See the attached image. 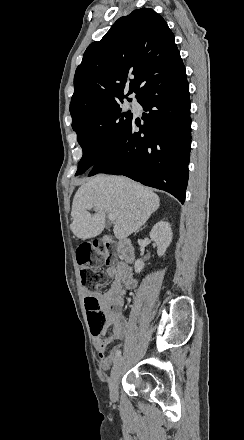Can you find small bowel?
<instances>
[{
    "label": "small bowel",
    "mask_w": 244,
    "mask_h": 440,
    "mask_svg": "<svg viewBox=\"0 0 244 440\" xmlns=\"http://www.w3.org/2000/svg\"><path fill=\"white\" fill-rule=\"evenodd\" d=\"M105 275L109 278H113L110 287L105 292L89 294L83 289L82 294L84 299L93 297L99 302L106 315V328H112V332L109 336H94V347L100 361V367L102 370L107 371L111 368L113 363L117 361L114 358V353L117 348H121L123 340L129 332V324L123 317L122 308L125 302L126 291L135 289L137 281L131 267L123 262L114 267L107 268ZM110 307H119L121 310L120 315L110 316L108 313ZM120 318L125 322L121 327L116 323ZM114 342L116 344L107 352L108 347Z\"/></svg>",
    "instance_id": "1"
}]
</instances>
